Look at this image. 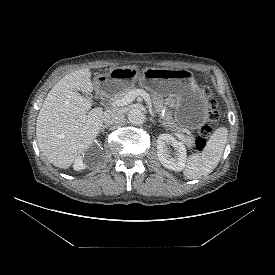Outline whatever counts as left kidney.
Wrapping results in <instances>:
<instances>
[{
	"label": "left kidney",
	"instance_id": "left-kidney-1",
	"mask_svg": "<svg viewBox=\"0 0 275 275\" xmlns=\"http://www.w3.org/2000/svg\"><path fill=\"white\" fill-rule=\"evenodd\" d=\"M170 145L175 150L172 157ZM157 155L161 164L173 171H182L186 163V148L182 142L177 141L169 134H161L157 139Z\"/></svg>",
	"mask_w": 275,
	"mask_h": 275
}]
</instances>
